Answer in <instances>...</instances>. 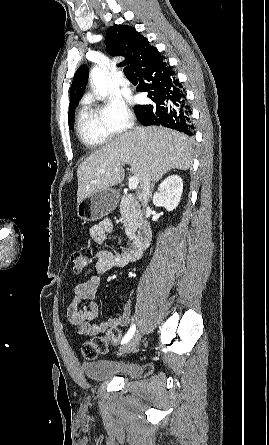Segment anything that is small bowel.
Here are the masks:
<instances>
[{
  "mask_svg": "<svg viewBox=\"0 0 269 445\" xmlns=\"http://www.w3.org/2000/svg\"><path fill=\"white\" fill-rule=\"evenodd\" d=\"M112 231L113 224L110 220H104L90 228L91 237L100 243L104 242ZM138 255L134 251L116 253L111 250H100L97 252L95 264L86 271L84 279L74 287V297L67 309L68 319L77 328L78 333L84 336H97L104 332L107 334L111 330L119 331L120 327L129 323V302L123 306L120 316L93 323L99 315V308L95 300L104 275L115 267L126 265L136 259Z\"/></svg>",
  "mask_w": 269,
  "mask_h": 445,
  "instance_id": "1",
  "label": "small bowel"
}]
</instances>
